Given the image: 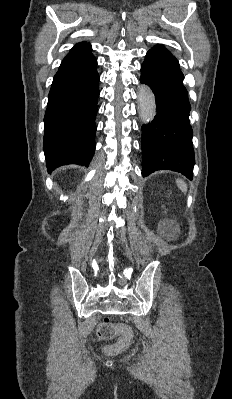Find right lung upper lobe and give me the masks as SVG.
Returning a JSON list of instances; mask_svg holds the SVG:
<instances>
[{"instance_id": "right-lung-upper-lobe-1", "label": "right lung upper lobe", "mask_w": 232, "mask_h": 399, "mask_svg": "<svg viewBox=\"0 0 232 399\" xmlns=\"http://www.w3.org/2000/svg\"><path fill=\"white\" fill-rule=\"evenodd\" d=\"M82 51H91V45L87 42H81L76 44L70 52H82Z\"/></svg>"}]
</instances>
